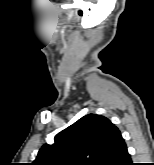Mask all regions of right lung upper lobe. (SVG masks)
Returning a JSON list of instances; mask_svg holds the SVG:
<instances>
[{
    "label": "right lung upper lobe",
    "instance_id": "right-lung-upper-lobe-1",
    "mask_svg": "<svg viewBox=\"0 0 154 165\" xmlns=\"http://www.w3.org/2000/svg\"><path fill=\"white\" fill-rule=\"evenodd\" d=\"M119 137L108 118L88 114L44 144L32 165H103Z\"/></svg>",
    "mask_w": 154,
    "mask_h": 165
}]
</instances>
